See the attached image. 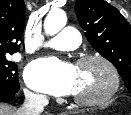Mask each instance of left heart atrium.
Listing matches in <instances>:
<instances>
[{
    "mask_svg": "<svg viewBox=\"0 0 131 115\" xmlns=\"http://www.w3.org/2000/svg\"><path fill=\"white\" fill-rule=\"evenodd\" d=\"M76 67L56 58H41L32 62L25 71L27 84L48 94L70 95L76 87Z\"/></svg>",
    "mask_w": 131,
    "mask_h": 115,
    "instance_id": "1",
    "label": "left heart atrium"
}]
</instances>
